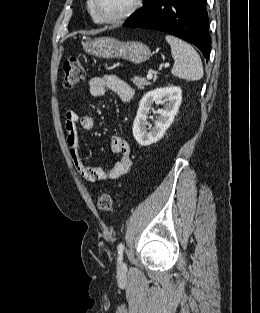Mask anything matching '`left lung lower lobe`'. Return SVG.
<instances>
[{"label":"left lung lower lobe","mask_w":260,"mask_h":313,"mask_svg":"<svg viewBox=\"0 0 260 313\" xmlns=\"http://www.w3.org/2000/svg\"><path fill=\"white\" fill-rule=\"evenodd\" d=\"M123 26L163 31L182 38L210 55L206 0H150Z\"/></svg>","instance_id":"obj_1"}]
</instances>
